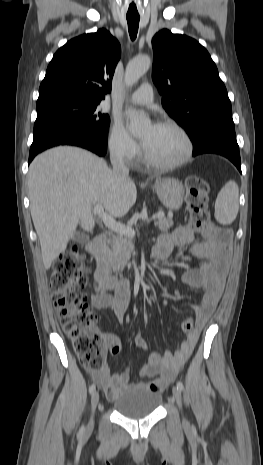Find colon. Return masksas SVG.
Instances as JSON below:
<instances>
[{
    "instance_id": "5ec220e1",
    "label": "colon",
    "mask_w": 263,
    "mask_h": 465,
    "mask_svg": "<svg viewBox=\"0 0 263 465\" xmlns=\"http://www.w3.org/2000/svg\"><path fill=\"white\" fill-rule=\"evenodd\" d=\"M185 201L187 222L202 234L213 230L207 202L210 186L199 176L186 180ZM83 256L77 246H71L62 253L53 265L50 277L52 299L58 308L61 326L72 342L80 363L88 370L100 372L105 369L106 338L96 326L97 316L76 288L86 285ZM181 330H194V320L189 317L182 321Z\"/></svg>"
}]
</instances>
